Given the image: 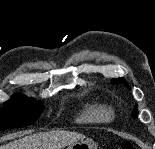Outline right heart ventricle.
<instances>
[{"label":"right heart ventricle","instance_id":"obj_1","mask_svg":"<svg viewBox=\"0 0 155 149\" xmlns=\"http://www.w3.org/2000/svg\"><path fill=\"white\" fill-rule=\"evenodd\" d=\"M113 118L112 110L99 103H87L82 110L79 121L84 123H107Z\"/></svg>","mask_w":155,"mask_h":149}]
</instances>
